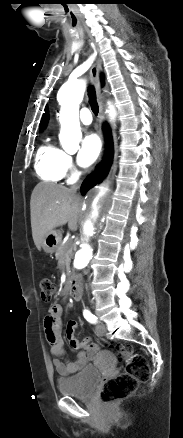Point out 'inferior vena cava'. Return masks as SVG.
Here are the masks:
<instances>
[{
    "mask_svg": "<svg viewBox=\"0 0 183 438\" xmlns=\"http://www.w3.org/2000/svg\"><path fill=\"white\" fill-rule=\"evenodd\" d=\"M72 190L76 191V190H77V187H73Z\"/></svg>",
    "mask_w": 183,
    "mask_h": 438,
    "instance_id": "1",
    "label": "inferior vena cava"
}]
</instances>
